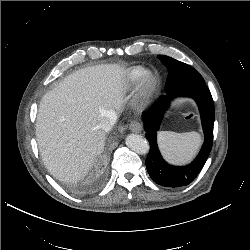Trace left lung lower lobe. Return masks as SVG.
Returning <instances> with one entry per match:
<instances>
[{
    "label": "left lung lower lobe",
    "instance_id": "obj_1",
    "mask_svg": "<svg viewBox=\"0 0 250 250\" xmlns=\"http://www.w3.org/2000/svg\"><path fill=\"white\" fill-rule=\"evenodd\" d=\"M176 97H191L199 107L205 140L197 157L186 166L168 164L161 156L157 145L156 134L161 119ZM146 138L150 150L145 164L151 179L165 187H181L190 184L204 166L213 144L214 104L211 93L205 83L182 87L160 96L142 115Z\"/></svg>",
    "mask_w": 250,
    "mask_h": 250
}]
</instances>
